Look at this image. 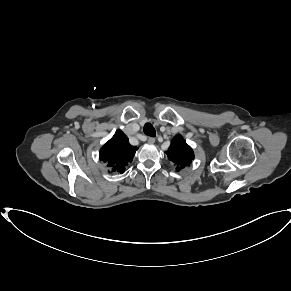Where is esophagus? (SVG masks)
<instances>
[{"mask_svg":"<svg viewBox=\"0 0 291 291\" xmlns=\"http://www.w3.org/2000/svg\"><path fill=\"white\" fill-rule=\"evenodd\" d=\"M147 142H148L149 144H154V143H155V138H153V137H149L148 140H147Z\"/></svg>","mask_w":291,"mask_h":291,"instance_id":"esophagus-1","label":"esophagus"}]
</instances>
